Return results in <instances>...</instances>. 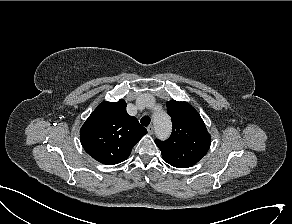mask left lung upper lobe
<instances>
[{
    "instance_id": "left-lung-upper-lobe-1",
    "label": "left lung upper lobe",
    "mask_w": 292,
    "mask_h": 224,
    "mask_svg": "<svg viewBox=\"0 0 292 224\" xmlns=\"http://www.w3.org/2000/svg\"><path fill=\"white\" fill-rule=\"evenodd\" d=\"M167 112L172 120V133L166 141L155 140L164 161L177 168H187L204 157L211 137L199 113L187 102L170 100Z\"/></svg>"
}]
</instances>
